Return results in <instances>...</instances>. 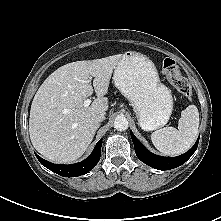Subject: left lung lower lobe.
<instances>
[{
	"label": "left lung lower lobe",
	"mask_w": 221,
	"mask_h": 221,
	"mask_svg": "<svg viewBox=\"0 0 221 221\" xmlns=\"http://www.w3.org/2000/svg\"><path fill=\"white\" fill-rule=\"evenodd\" d=\"M131 138L134 144L137 157L145 164L158 169V170H170L184 164L196 151L199 138L195 145L186 153L177 157H162L155 155L148 151L142 143L135 137L132 131H130Z\"/></svg>",
	"instance_id": "obj_1"
}]
</instances>
